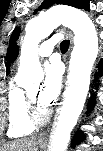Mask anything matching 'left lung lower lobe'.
Segmentation results:
<instances>
[{"instance_id": "obj_1", "label": "left lung lower lobe", "mask_w": 103, "mask_h": 151, "mask_svg": "<svg viewBox=\"0 0 103 151\" xmlns=\"http://www.w3.org/2000/svg\"><path fill=\"white\" fill-rule=\"evenodd\" d=\"M102 60L99 62V71H100V73H102ZM92 100V102H90V107H92V105H93V103H94V98H92L91 99ZM83 138H84V135H83V133L81 132V131H79L76 135H75V137H74V139H73V141H72V143H73V145H76V144H78L79 142H81L82 140H83Z\"/></svg>"}]
</instances>
